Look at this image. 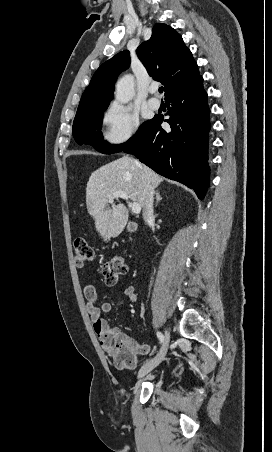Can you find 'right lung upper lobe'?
<instances>
[{"label":"right lung upper lobe","mask_w":272,"mask_h":452,"mask_svg":"<svg viewBox=\"0 0 272 452\" xmlns=\"http://www.w3.org/2000/svg\"><path fill=\"white\" fill-rule=\"evenodd\" d=\"M148 74L165 87V97L198 78L199 71L182 37L170 26L157 23L152 36L136 50ZM130 65L129 51H122L103 63L84 91L77 113L107 107L112 100L118 75ZM76 113V114H77Z\"/></svg>","instance_id":"right-lung-upper-lobe-1"}]
</instances>
